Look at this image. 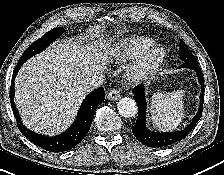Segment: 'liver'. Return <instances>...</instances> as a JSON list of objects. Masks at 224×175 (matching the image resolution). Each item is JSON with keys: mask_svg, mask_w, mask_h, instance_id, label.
<instances>
[{"mask_svg": "<svg viewBox=\"0 0 224 175\" xmlns=\"http://www.w3.org/2000/svg\"><path fill=\"white\" fill-rule=\"evenodd\" d=\"M107 45L63 40L27 60L15 79V105L23 124L48 136L75 119L87 91L82 85L107 69Z\"/></svg>", "mask_w": 224, "mask_h": 175, "instance_id": "obj_1", "label": "liver"}]
</instances>
